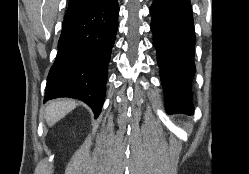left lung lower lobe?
<instances>
[{
    "label": "left lung lower lobe",
    "instance_id": "obj_1",
    "mask_svg": "<svg viewBox=\"0 0 249 174\" xmlns=\"http://www.w3.org/2000/svg\"><path fill=\"white\" fill-rule=\"evenodd\" d=\"M153 45L168 113L192 114L191 80L196 43L190 0H153L150 7Z\"/></svg>",
    "mask_w": 249,
    "mask_h": 174
}]
</instances>
